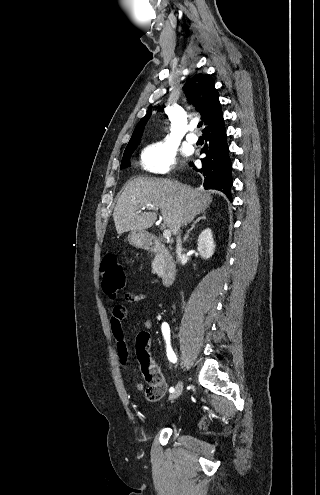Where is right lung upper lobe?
Masks as SVG:
<instances>
[{
  "mask_svg": "<svg viewBox=\"0 0 320 495\" xmlns=\"http://www.w3.org/2000/svg\"><path fill=\"white\" fill-rule=\"evenodd\" d=\"M183 89L190 103L202 115L201 119L205 125L202 132L223 120L218 90L215 89V82L212 77L201 73L196 74L187 80ZM150 116L151 111L139 121L125 150L139 145L144 127Z\"/></svg>",
  "mask_w": 320,
  "mask_h": 495,
  "instance_id": "obj_1",
  "label": "right lung upper lobe"
}]
</instances>
